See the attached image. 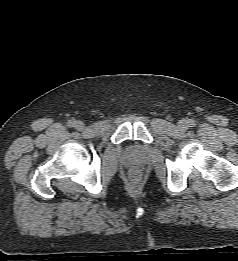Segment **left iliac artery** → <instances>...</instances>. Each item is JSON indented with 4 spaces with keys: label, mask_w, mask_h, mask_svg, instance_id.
I'll list each match as a JSON object with an SVG mask.
<instances>
[{
    "label": "left iliac artery",
    "mask_w": 238,
    "mask_h": 261,
    "mask_svg": "<svg viewBox=\"0 0 238 261\" xmlns=\"http://www.w3.org/2000/svg\"><path fill=\"white\" fill-rule=\"evenodd\" d=\"M188 125H189L190 127H194V126H195V121H194V120H189V121H188Z\"/></svg>",
    "instance_id": "1"
}]
</instances>
